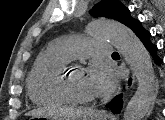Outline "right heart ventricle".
Segmentation results:
<instances>
[{"instance_id":"right-heart-ventricle-1","label":"right heart ventricle","mask_w":165,"mask_h":120,"mask_svg":"<svg viewBox=\"0 0 165 120\" xmlns=\"http://www.w3.org/2000/svg\"><path fill=\"white\" fill-rule=\"evenodd\" d=\"M69 61L54 46L39 55L27 80L28 93L34 103L58 105L69 102L60 86L62 73Z\"/></svg>"}]
</instances>
